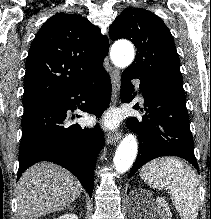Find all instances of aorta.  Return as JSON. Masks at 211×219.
Returning a JSON list of instances; mask_svg holds the SVG:
<instances>
[{
  "instance_id": "1",
  "label": "aorta",
  "mask_w": 211,
  "mask_h": 219,
  "mask_svg": "<svg viewBox=\"0 0 211 219\" xmlns=\"http://www.w3.org/2000/svg\"><path fill=\"white\" fill-rule=\"evenodd\" d=\"M110 56L115 66L126 68L132 63L135 52L131 43L120 42L114 44ZM137 151L136 138L131 134L125 136L117 147L113 159L116 171L119 173L128 171L136 158Z\"/></svg>"
}]
</instances>
